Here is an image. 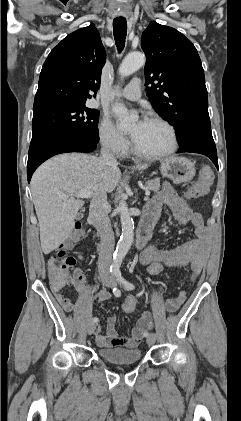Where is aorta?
I'll use <instances>...</instances> for the list:
<instances>
[{
	"instance_id": "aorta-1",
	"label": "aorta",
	"mask_w": 241,
	"mask_h": 421,
	"mask_svg": "<svg viewBox=\"0 0 241 421\" xmlns=\"http://www.w3.org/2000/svg\"><path fill=\"white\" fill-rule=\"evenodd\" d=\"M145 64V55L141 52H133L128 54L122 61L119 67V74L121 78L130 76L136 72L140 67ZM113 111L119 116L120 129H127L131 126L133 122L137 120V116L130 115L127 108L120 102H116L113 105ZM118 212L120 213V221L122 234L120 240L117 244L116 250L113 255V265L119 267L122 260L128 253L134 239V221L131 217L127 203L124 198L119 201L117 207Z\"/></svg>"
}]
</instances>
